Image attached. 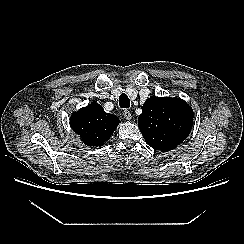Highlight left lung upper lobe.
I'll use <instances>...</instances> for the list:
<instances>
[{
    "label": "left lung upper lobe",
    "instance_id": "1",
    "mask_svg": "<svg viewBox=\"0 0 244 244\" xmlns=\"http://www.w3.org/2000/svg\"><path fill=\"white\" fill-rule=\"evenodd\" d=\"M192 108L180 98L151 97L139 115V129L145 142L153 149L170 151L191 132Z\"/></svg>",
    "mask_w": 244,
    "mask_h": 244
}]
</instances>
